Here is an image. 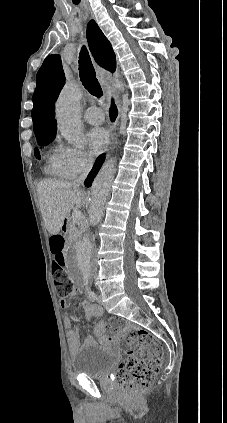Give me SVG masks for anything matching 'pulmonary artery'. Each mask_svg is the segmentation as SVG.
Returning a JSON list of instances; mask_svg holds the SVG:
<instances>
[{
  "label": "pulmonary artery",
  "mask_w": 227,
  "mask_h": 423,
  "mask_svg": "<svg viewBox=\"0 0 227 423\" xmlns=\"http://www.w3.org/2000/svg\"><path fill=\"white\" fill-rule=\"evenodd\" d=\"M84 119L91 125L99 126L104 123L105 115L100 108L93 106L85 111Z\"/></svg>",
  "instance_id": "pulmonary-artery-1"
}]
</instances>
